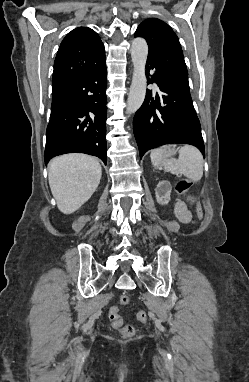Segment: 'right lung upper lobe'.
<instances>
[{"instance_id":"right-lung-upper-lobe-1","label":"right lung upper lobe","mask_w":249,"mask_h":382,"mask_svg":"<svg viewBox=\"0 0 249 382\" xmlns=\"http://www.w3.org/2000/svg\"><path fill=\"white\" fill-rule=\"evenodd\" d=\"M104 55V45L92 29L79 27L69 32L54 62L52 98L84 76Z\"/></svg>"}]
</instances>
